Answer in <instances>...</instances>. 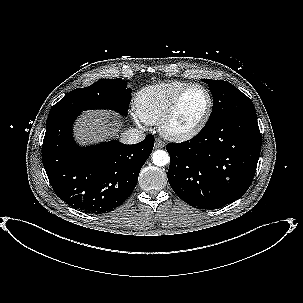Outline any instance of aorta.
I'll use <instances>...</instances> for the list:
<instances>
[{"label": "aorta", "mask_w": 303, "mask_h": 303, "mask_svg": "<svg viewBox=\"0 0 303 303\" xmlns=\"http://www.w3.org/2000/svg\"><path fill=\"white\" fill-rule=\"evenodd\" d=\"M169 154L164 150H157L152 154V162L156 166H165L169 163Z\"/></svg>", "instance_id": "1"}]
</instances>
